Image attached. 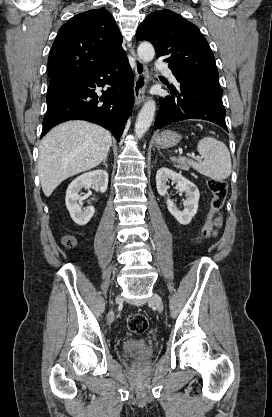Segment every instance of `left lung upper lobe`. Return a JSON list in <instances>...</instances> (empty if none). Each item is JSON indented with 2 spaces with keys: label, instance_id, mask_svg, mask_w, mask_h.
I'll use <instances>...</instances> for the list:
<instances>
[{
  "label": "left lung upper lobe",
  "instance_id": "left-lung-upper-lobe-1",
  "mask_svg": "<svg viewBox=\"0 0 272 417\" xmlns=\"http://www.w3.org/2000/svg\"><path fill=\"white\" fill-rule=\"evenodd\" d=\"M136 38L150 41L175 76L222 94L215 58L194 24L170 10L155 11L138 27Z\"/></svg>",
  "mask_w": 272,
  "mask_h": 417
}]
</instances>
